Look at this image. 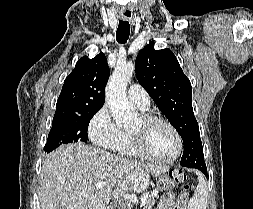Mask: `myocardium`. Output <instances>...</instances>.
Instances as JSON below:
<instances>
[{
    "label": "myocardium",
    "mask_w": 253,
    "mask_h": 209,
    "mask_svg": "<svg viewBox=\"0 0 253 209\" xmlns=\"http://www.w3.org/2000/svg\"><path fill=\"white\" fill-rule=\"evenodd\" d=\"M141 123H142V127H146L154 122H162L164 124H166L174 133V136L176 138V151L175 153L168 159H159L156 158L154 156H152L145 148V134L143 132V129L140 130H131V136L133 139V143L135 146L136 151L138 152V154L140 155V157L157 163V164H171L174 161H176L178 159V157L180 156L181 152H182V137L178 131V129L175 127V125L168 120L167 118L163 117V116H159V115H154V114H149V113H145L141 116L140 118Z\"/></svg>",
    "instance_id": "myocardium-1"
}]
</instances>
